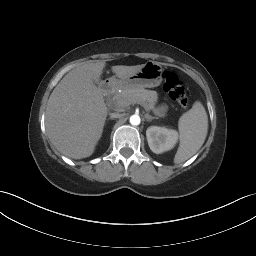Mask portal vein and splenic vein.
Returning a JSON list of instances; mask_svg holds the SVG:
<instances>
[{
	"label": "portal vein and splenic vein",
	"instance_id": "obj_1",
	"mask_svg": "<svg viewBox=\"0 0 256 256\" xmlns=\"http://www.w3.org/2000/svg\"><path fill=\"white\" fill-rule=\"evenodd\" d=\"M141 105L145 108L146 111H148V108H147V107H145L143 104H141Z\"/></svg>",
	"mask_w": 256,
	"mask_h": 256
}]
</instances>
